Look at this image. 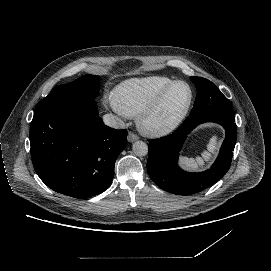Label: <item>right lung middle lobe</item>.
Returning a JSON list of instances; mask_svg holds the SVG:
<instances>
[{"instance_id":"right-lung-middle-lobe-1","label":"right lung middle lobe","mask_w":271,"mask_h":271,"mask_svg":"<svg viewBox=\"0 0 271 271\" xmlns=\"http://www.w3.org/2000/svg\"><path fill=\"white\" fill-rule=\"evenodd\" d=\"M98 92L99 77L87 74L68 84L56 86L37 104L34 113L62 104H96L94 98Z\"/></svg>"}]
</instances>
